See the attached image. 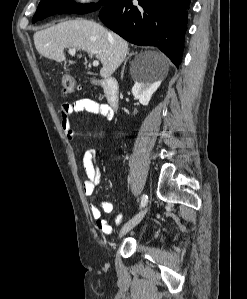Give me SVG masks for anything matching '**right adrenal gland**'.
Here are the masks:
<instances>
[{"instance_id":"right-adrenal-gland-1","label":"right adrenal gland","mask_w":247,"mask_h":299,"mask_svg":"<svg viewBox=\"0 0 247 299\" xmlns=\"http://www.w3.org/2000/svg\"><path fill=\"white\" fill-rule=\"evenodd\" d=\"M135 54H136V53H134V52L128 53V57H127V59L125 60L124 65H123L122 76H123V72H124V68H125V65H126V63H127V60H128L131 56H133V55H135Z\"/></svg>"}]
</instances>
